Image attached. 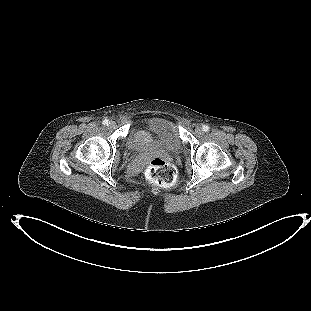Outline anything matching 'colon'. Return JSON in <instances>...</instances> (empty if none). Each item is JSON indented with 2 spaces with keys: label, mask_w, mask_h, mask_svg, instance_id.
Masks as SVG:
<instances>
[{
  "label": "colon",
  "mask_w": 311,
  "mask_h": 311,
  "mask_svg": "<svg viewBox=\"0 0 311 311\" xmlns=\"http://www.w3.org/2000/svg\"><path fill=\"white\" fill-rule=\"evenodd\" d=\"M146 176L152 183L161 187H169L177 179L175 168L160 157H155L149 162Z\"/></svg>",
  "instance_id": "obj_1"
}]
</instances>
